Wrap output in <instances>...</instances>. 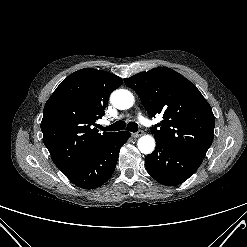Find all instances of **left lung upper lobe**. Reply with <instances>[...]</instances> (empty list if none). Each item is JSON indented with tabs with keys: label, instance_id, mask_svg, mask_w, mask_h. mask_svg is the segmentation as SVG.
Wrapping results in <instances>:
<instances>
[{
	"label": "left lung upper lobe",
	"instance_id": "1",
	"mask_svg": "<svg viewBox=\"0 0 247 247\" xmlns=\"http://www.w3.org/2000/svg\"><path fill=\"white\" fill-rule=\"evenodd\" d=\"M134 89L150 116L162 114L151 127L155 140L204 158L214 138L215 118L209 103L188 79L159 67L124 80Z\"/></svg>",
	"mask_w": 247,
	"mask_h": 247
}]
</instances>
